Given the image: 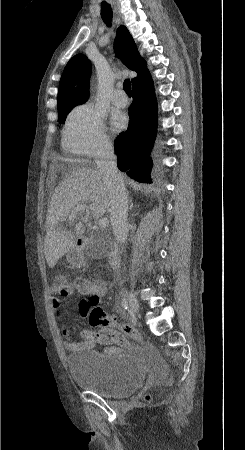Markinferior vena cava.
<instances>
[{
	"instance_id": "obj_1",
	"label": "inferior vena cava",
	"mask_w": 245,
	"mask_h": 450,
	"mask_svg": "<svg viewBox=\"0 0 245 450\" xmlns=\"http://www.w3.org/2000/svg\"><path fill=\"white\" fill-rule=\"evenodd\" d=\"M116 159L111 143H104L97 152L95 163L108 192L113 233L123 244L128 234V194Z\"/></svg>"
}]
</instances>
